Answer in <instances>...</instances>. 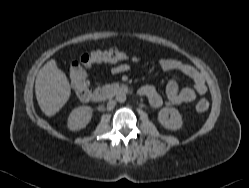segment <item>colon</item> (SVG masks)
<instances>
[{
  "instance_id": "5ec220e1",
  "label": "colon",
  "mask_w": 249,
  "mask_h": 188,
  "mask_svg": "<svg viewBox=\"0 0 249 188\" xmlns=\"http://www.w3.org/2000/svg\"><path fill=\"white\" fill-rule=\"evenodd\" d=\"M129 56L116 48L97 50L81 55L70 63V81L78 98L87 100L90 94V84L87 80L86 70L94 64L102 62H117L128 59ZM209 107L206 99H201L196 104L198 112H205Z\"/></svg>"
}]
</instances>
